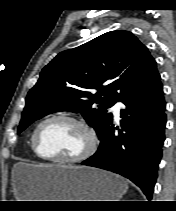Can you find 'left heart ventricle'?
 Masks as SVG:
<instances>
[{
  "instance_id": "b2bd125f",
  "label": "left heart ventricle",
  "mask_w": 176,
  "mask_h": 211,
  "mask_svg": "<svg viewBox=\"0 0 176 211\" xmlns=\"http://www.w3.org/2000/svg\"><path fill=\"white\" fill-rule=\"evenodd\" d=\"M40 152L46 156L70 158L81 154L87 146V135L78 125L55 120L45 124L38 133Z\"/></svg>"
}]
</instances>
